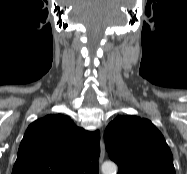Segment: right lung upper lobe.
Returning a JSON list of instances; mask_svg holds the SVG:
<instances>
[{
  "label": "right lung upper lobe",
  "mask_w": 187,
  "mask_h": 174,
  "mask_svg": "<svg viewBox=\"0 0 187 174\" xmlns=\"http://www.w3.org/2000/svg\"><path fill=\"white\" fill-rule=\"evenodd\" d=\"M100 133L78 128L66 116L33 122L20 143L12 174H83L100 154Z\"/></svg>",
  "instance_id": "cb5924a9"
}]
</instances>
